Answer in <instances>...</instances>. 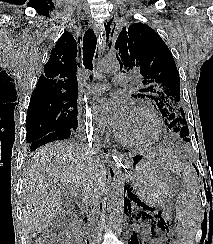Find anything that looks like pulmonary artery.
Returning <instances> with one entry per match:
<instances>
[{
  "instance_id": "1",
  "label": "pulmonary artery",
  "mask_w": 213,
  "mask_h": 244,
  "mask_svg": "<svg viewBox=\"0 0 213 244\" xmlns=\"http://www.w3.org/2000/svg\"><path fill=\"white\" fill-rule=\"evenodd\" d=\"M129 77L124 73H117L113 78L114 86H121L128 82ZM110 85L108 83H90L86 86V92L90 95H99L105 92Z\"/></svg>"
}]
</instances>
